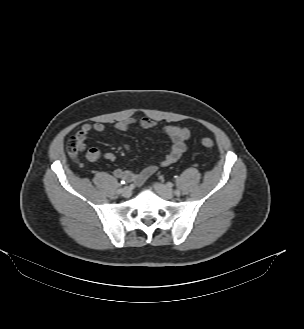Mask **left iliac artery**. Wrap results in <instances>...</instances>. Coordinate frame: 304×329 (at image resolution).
Returning <instances> with one entry per match:
<instances>
[{"label":"left iliac artery","mask_w":304,"mask_h":329,"mask_svg":"<svg viewBox=\"0 0 304 329\" xmlns=\"http://www.w3.org/2000/svg\"><path fill=\"white\" fill-rule=\"evenodd\" d=\"M175 194H176V195H180V191H179V190H176V191H175Z\"/></svg>","instance_id":"left-iliac-artery-1"}]
</instances>
